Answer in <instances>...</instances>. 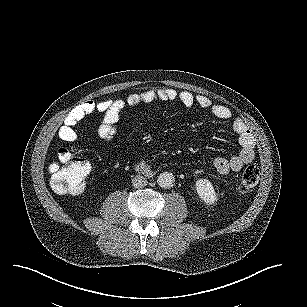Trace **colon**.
<instances>
[{"mask_svg": "<svg viewBox=\"0 0 307 307\" xmlns=\"http://www.w3.org/2000/svg\"><path fill=\"white\" fill-rule=\"evenodd\" d=\"M51 186L58 194H79L87 186L90 167L81 156L62 148L58 152L57 161L51 167ZM259 179V169L250 165L243 171L238 190L246 193L252 190Z\"/></svg>", "mask_w": 307, "mask_h": 307, "instance_id": "5ec220e1", "label": "colon"}]
</instances>
